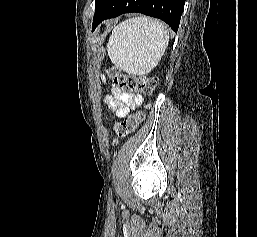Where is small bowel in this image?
Wrapping results in <instances>:
<instances>
[{
    "label": "small bowel",
    "mask_w": 257,
    "mask_h": 237,
    "mask_svg": "<svg viewBox=\"0 0 257 237\" xmlns=\"http://www.w3.org/2000/svg\"><path fill=\"white\" fill-rule=\"evenodd\" d=\"M139 94L127 93L118 87H113L111 94L106 97V102L111 109L116 110L118 117H126L130 110L137 108L142 103Z\"/></svg>",
    "instance_id": "obj_1"
}]
</instances>
